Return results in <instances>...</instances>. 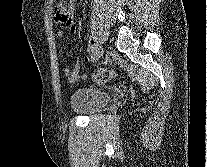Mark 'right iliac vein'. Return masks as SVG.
Instances as JSON below:
<instances>
[{"instance_id": "1", "label": "right iliac vein", "mask_w": 207, "mask_h": 167, "mask_svg": "<svg viewBox=\"0 0 207 167\" xmlns=\"http://www.w3.org/2000/svg\"><path fill=\"white\" fill-rule=\"evenodd\" d=\"M102 54H103V47L100 43H96L95 45V49H94V52H93V61H98L101 57H102Z\"/></svg>"}]
</instances>
